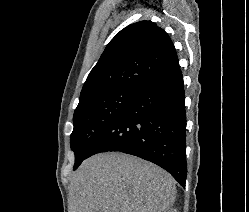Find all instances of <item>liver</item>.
I'll list each match as a JSON object with an SVG mask.
<instances>
[{
    "label": "liver",
    "instance_id": "liver-1",
    "mask_svg": "<svg viewBox=\"0 0 249 212\" xmlns=\"http://www.w3.org/2000/svg\"><path fill=\"white\" fill-rule=\"evenodd\" d=\"M70 184V212H166L176 198L168 172L121 152L84 160Z\"/></svg>",
    "mask_w": 249,
    "mask_h": 212
}]
</instances>
